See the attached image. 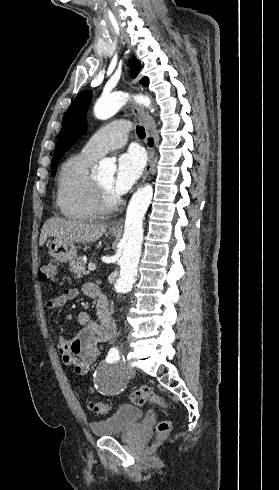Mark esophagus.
<instances>
[{
    "label": "esophagus",
    "mask_w": 279,
    "mask_h": 490,
    "mask_svg": "<svg viewBox=\"0 0 279 490\" xmlns=\"http://www.w3.org/2000/svg\"><path fill=\"white\" fill-rule=\"evenodd\" d=\"M129 84H130V87H131L132 90H135L136 89V87H135L134 84H132L131 82H129ZM133 113L140 120V122L144 125V127L146 129L147 137H151V133H150V130H149L148 123L146 121V116H145L144 109L142 107L135 106V107H133ZM147 151H148V159H147V163H146V166H145L144 175H143V178H142V183L145 182L148 174L150 173V170L152 168H154V166H155V148L148 147ZM110 228L111 229H119V228H122V222L120 220H115V221H113L110 224Z\"/></svg>",
    "instance_id": "1"
}]
</instances>
